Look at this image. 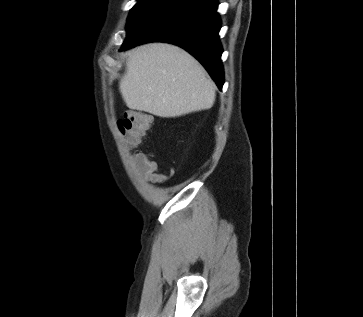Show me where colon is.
<instances>
[{
  "label": "colon",
  "mask_w": 363,
  "mask_h": 317,
  "mask_svg": "<svg viewBox=\"0 0 363 317\" xmlns=\"http://www.w3.org/2000/svg\"><path fill=\"white\" fill-rule=\"evenodd\" d=\"M152 125V117L149 114L129 110L118 120V129L125 138L129 148L137 146L147 134Z\"/></svg>",
  "instance_id": "colon-1"
}]
</instances>
